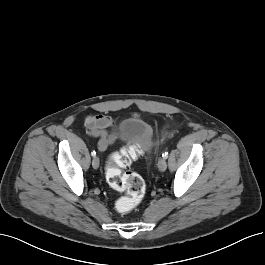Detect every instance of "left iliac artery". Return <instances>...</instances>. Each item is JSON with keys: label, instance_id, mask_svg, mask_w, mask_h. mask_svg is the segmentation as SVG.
I'll use <instances>...</instances> for the list:
<instances>
[{"label": "left iliac artery", "instance_id": "left-iliac-artery-1", "mask_svg": "<svg viewBox=\"0 0 265 265\" xmlns=\"http://www.w3.org/2000/svg\"><path fill=\"white\" fill-rule=\"evenodd\" d=\"M162 156H163L164 159H167V157H168V152L163 153Z\"/></svg>", "mask_w": 265, "mask_h": 265}]
</instances>
